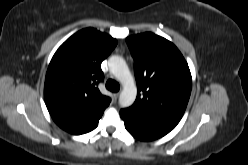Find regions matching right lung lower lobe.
I'll return each instance as SVG.
<instances>
[{"label": "right lung lower lobe", "instance_id": "right-lung-lower-lobe-1", "mask_svg": "<svg viewBox=\"0 0 248 165\" xmlns=\"http://www.w3.org/2000/svg\"><path fill=\"white\" fill-rule=\"evenodd\" d=\"M96 126H97V125H96ZM96 126H95V127H96ZM95 127H94V128H95ZM94 128H92L91 130H93ZM91 130H90V131H91ZM88 132H89V131H88Z\"/></svg>", "mask_w": 248, "mask_h": 165}]
</instances>
